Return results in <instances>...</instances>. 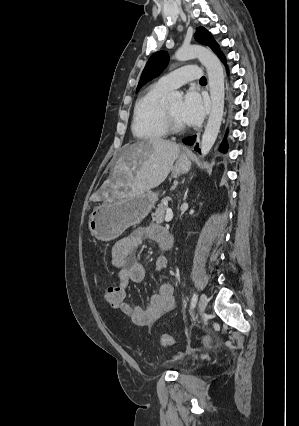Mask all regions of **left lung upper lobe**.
<instances>
[{"label":"left lung upper lobe","instance_id":"5c2ea615","mask_svg":"<svg viewBox=\"0 0 299 426\" xmlns=\"http://www.w3.org/2000/svg\"><path fill=\"white\" fill-rule=\"evenodd\" d=\"M195 39L201 44L209 46L215 53L220 51L211 33L208 32L204 27H199L196 29ZM168 61H169V57L167 52L160 51V52L154 53L149 58L142 72V75L137 87V91L146 82L150 81L151 79L156 77L158 74H160L167 66Z\"/></svg>","mask_w":299,"mask_h":426}]
</instances>
